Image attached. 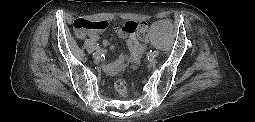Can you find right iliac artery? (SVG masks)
Masks as SVG:
<instances>
[{
	"instance_id": "right-iliac-artery-1",
	"label": "right iliac artery",
	"mask_w": 255,
	"mask_h": 122,
	"mask_svg": "<svg viewBox=\"0 0 255 122\" xmlns=\"http://www.w3.org/2000/svg\"><path fill=\"white\" fill-rule=\"evenodd\" d=\"M101 53H102V49L97 48V50H96V52L93 54V56L96 55V54H101Z\"/></svg>"
}]
</instances>
